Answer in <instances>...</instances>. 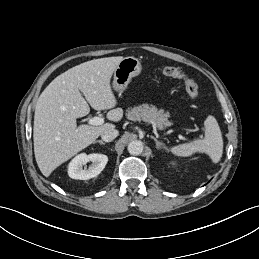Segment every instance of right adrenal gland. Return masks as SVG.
Returning a JSON list of instances; mask_svg holds the SVG:
<instances>
[{"label": "right adrenal gland", "mask_w": 259, "mask_h": 259, "mask_svg": "<svg viewBox=\"0 0 259 259\" xmlns=\"http://www.w3.org/2000/svg\"><path fill=\"white\" fill-rule=\"evenodd\" d=\"M94 143H99V144H101V145H106V143H105V142H103L102 140L94 141Z\"/></svg>", "instance_id": "obj_1"}]
</instances>
